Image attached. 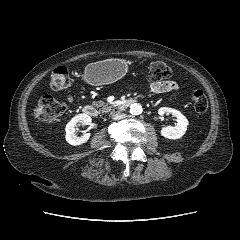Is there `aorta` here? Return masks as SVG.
<instances>
[{
    "instance_id": "obj_1",
    "label": "aorta",
    "mask_w": 240,
    "mask_h": 240,
    "mask_svg": "<svg viewBox=\"0 0 240 240\" xmlns=\"http://www.w3.org/2000/svg\"><path fill=\"white\" fill-rule=\"evenodd\" d=\"M142 111V106L140 104L134 103L130 106V113L132 115H140Z\"/></svg>"
}]
</instances>
